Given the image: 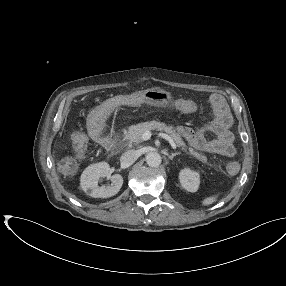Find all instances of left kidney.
Masks as SVG:
<instances>
[{
    "instance_id": "obj_1",
    "label": "left kidney",
    "mask_w": 286,
    "mask_h": 286,
    "mask_svg": "<svg viewBox=\"0 0 286 286\" xmlns=\"http://www.w3.org/2000/svg\"><path fill=\"white\" fill-rule=\"evenodd\" d=\"M179 179L181 186L185 190L189 192H196L198 190L200 184V175L198 172L185 168L179 173Z\"/></svg>"
}]
</instances>
